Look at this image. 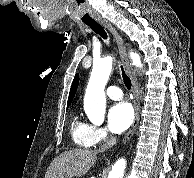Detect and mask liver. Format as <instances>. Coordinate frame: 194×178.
<instances>
[{
	"mask_svg": "<svg viewBox=\"0 0 194 178\" xmlns=\"http://www.w3.org/2000/svg\"><path fill=\"white\" fill-rule=\"evenodd\" d=\"M97 151L73 149L57 156L48 167L45 178H72L86 174L96 162Z\"/></svg>",
	"mask_w": 194,
	"mask_h": 178,
	"instance_id": "1",
	"label": "liver"
}]
</instances>
